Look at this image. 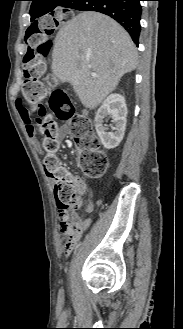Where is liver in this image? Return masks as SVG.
Segmentation results:
<instances>
[{
	"label": "liver",
	"mask_w": 183,
	"mask_h": 329,
	"mask_svg": "<svg viewBox=\"0 0 183 329\" xmlns=\"http://www.w3.org/2000/svg\"><path fill=\"white\" fill-rule=\"evenodd\" d=\"M136 67L137 50L129 34L106 15L80 13L56 35L51 70L72 85L86 108L98 107Z\"/></svg>",
	"instance_id": "6515ba94"
}]
</instances>
